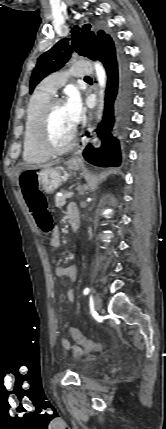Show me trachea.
<instances>
[{"label": "trachea", "mask_w": 166, "mask_h": 429, "mask_svg": "<svg viewBox=\"0 0 166 429\" xmlns=\"http://www.w3.org/2000/svg\"><path fill=\"white\" fill-rule=\"evenodd\" d=\"M85 79H90V77H89V76H86V77H85Z\"/></svg>", "instance_id": "1"}]
</instances>
